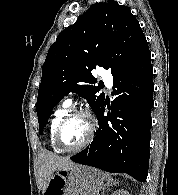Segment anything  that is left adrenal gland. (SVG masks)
Segmentation results:
<instances>
[{
    "label": "left adrenal gland",
    "instance_id": "left-adrenal-gland-1",
    "mask_svg": "<svg viewBox=\"0 0 178 195\" xmlns=\"http://www.w3.org/2000/svg\"><path fill=\"white\" fill-rule=\"evenodd\" d=\"M115 184H116V182H115ZM109 186H110V185H109V184H107V186H106L105 190H106ZM102 195H104V191L102 192Z\"/></svg>",
    "mask_w": 178,
    "mask_h": 195
}]
</instances>
